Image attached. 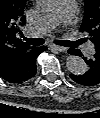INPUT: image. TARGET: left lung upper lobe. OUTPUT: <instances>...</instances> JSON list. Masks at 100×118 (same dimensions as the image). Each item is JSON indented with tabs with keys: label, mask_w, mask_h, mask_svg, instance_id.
I'll return each instance as SVG.
<instances>
[{
	"label": "left lung upper lobe",
	"mask_w": 100,
	"mask_h": 118,
	"mask_svg": "<svg viewBox=\"0 0 100 118\" xmlns=\"http://www.w3.org/2000/svg\"><path fill=\"white\" fill-rule=\"evenodd\" d=\"M81 31L86 32L100 53V0H85V15Z\"/></svg>",
	"instance_id": "1"
}]
</instances>
